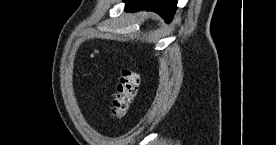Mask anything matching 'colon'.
<instances>
[{
    "label": "colon",
    "instance_id": "1",
    "mask_svg": "<svg viewBox=\"0 0 276 145\" xmlns=\"http://www.w3.org/2000/svg\"><path fill=\"white\" fill-rule=\"evenodd\" d=\"M138 84L139 75L136 72L129 69L121 72L111 109L114 120H122L127 115L129 106L137 93Z\"/></svg>",
    "mask_w": 276,
    "mask_h": 145
}]
</instances>
